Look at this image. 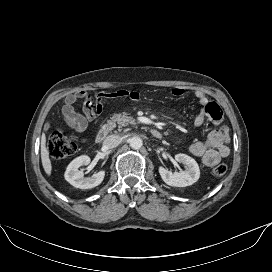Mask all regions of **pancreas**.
<instances>
[{"instance_id":"cf45deb5","label":"pancreas","mask_w":272,"mask_h":272,"mask_svg":"<svg viewBox=\"0 0 272 272\" xmlns=\"http://www.w3.org/2000/svg\"><path fill=\"white\" fill-rule=\"evenodd\" d=\"M112 122H116L119 127L127 126L128 124H135V119L131 116H127V114H114L111 117Z\"/></svg>"}]
</instances>
